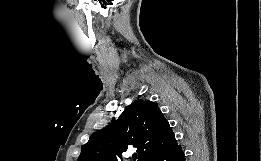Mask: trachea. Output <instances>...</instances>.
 <instances>
[{
    "label": "trachea",
    "instance_id": "3493384b",
    "mask_svg": "<svg viewBox=\"0 0 261 161\" xmlns=\"http://www.w3.org/2000/svg\"><path fill=\"white\" fill-rule=\"evenodd\" d=\"M136 158H137V155H133V160H136Z\"/></svg>",
    "mask_w": 261,
    "mask_h": 161
}]
</instances>
